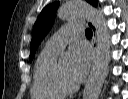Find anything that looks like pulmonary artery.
Masks as SVG:
<instances>
[{"instance_id": "obj_1", "label": "pulmonary artery", "mask_w": 128, "mask_h": 99, "mask_svg": "<svg viewBox=\"0 0 128 99\" xmlns=\"http://www.w3.org/2000/svg\"><path fill=\"white\" fill-rule=\"evenodd\" d=\"M83 30V23H71L59 29L46 43L49 49L60 52L64 47L77 39Z\"/></svg>"}]
</instances>
